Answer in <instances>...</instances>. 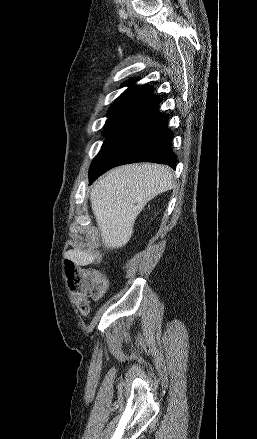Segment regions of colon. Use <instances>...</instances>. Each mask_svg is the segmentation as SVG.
I'll list each match as a JSON object with an SVG mask.
<instances>
[{"mask_svg": "<svg viewBox=\"0 0 257 439\" xmlns=\"http://www.w3.org/2000/svg\"><path fill=\"white\" fill-rule=\"evenodd\" d=\"M68 286L73 293L79 311L86 314L89 310V300L98 299L107 290V279L99 272L86 270L73 262L65 263Z\"/></svg>", "mask_w": 257, "mask_h": 439, "instance_id": "1", "label": "colon"}]
</instances>
